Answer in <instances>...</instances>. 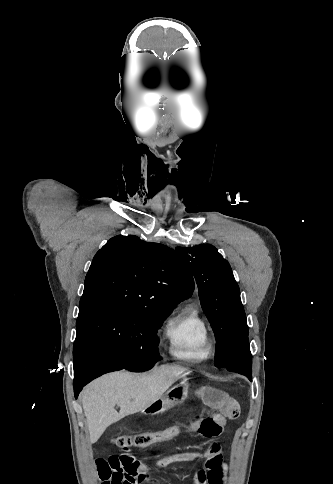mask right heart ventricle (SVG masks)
I'll use <instances>...</instances> for the list:
<instances>
[{
  "label": "right heart ventricle",
  "mask_w": 333,
  "mask_h": 484,
  "mask_svg": "<svg viewBox=\"0 0 333 484\" xmlns=\"http://www.w3.org/2000/svg\"><path fill=\"white\" fill-rule=\"evenodd\" d=\"M164 334L169 342V353L175 358L200 362L209 355V329L195 305H186L171 316L165 323Z\"/></svg>",
  "instance_id": "e07e8e85"
}]
</instances>
